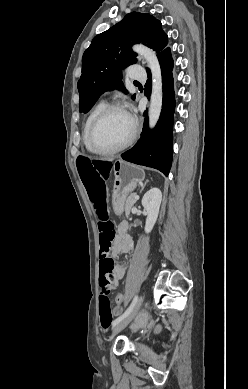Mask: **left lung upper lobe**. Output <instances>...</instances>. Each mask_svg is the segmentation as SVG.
<instances>
[{"mask_svg":"<svg viewBox=\"0 0 248 389\" xmlns=\"http://www.w3.org/2000/svg\"><path fill=\"white\" fill-rule=\"evenodd\" d=\"M136 43L147 45L158 56L168 43L161 22L150 14L132 12L94 37L82 57L78 81L80 112L87 113L104 91L116 88L127 93L120 80L121 69L136 63L137 54L131 50Z\"/></svg>","mask_w":248,"mask_h":389,"instance_id":"obj_1","label":"left lung upper lobe"}]
</instances>
